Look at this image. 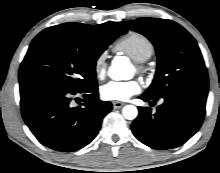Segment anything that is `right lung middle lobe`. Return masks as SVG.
Here are the masks:
<instances>
[{"label": "right lung middle lobe", "mask_w": 220, "mask_h": 173, "mask_svg": "<svg viewBox=\"0 0 220 173\" xmlns=\"http://www.w3.org/2000/svg\"><path fill=\"white\" fill-rule=\"evenodd\" d=\"M114 39L98 40L81 27L45 29L30 44L19 81L44 82L73 91L96 86V61Z\"/></svg>", "instance_id": "1"}]
</instances>
